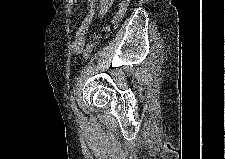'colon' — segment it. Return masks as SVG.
I'll return each instance as SVG.
<instances>
[{"instance_id":"5ec220e1","label":"colon","mask_w":225,"mask_h":159,"mask_svg":"<svg viewBox=\"0 0 225 159\" xmlns=\"http://www.w3.org/2000/svg\"><path fill=\"white\" fill-rule=\"evenodd\" d=\"M129 2H130V0H122L121 1L114 18L103 29L102 35H106L107 33H109L122 20V18L124 17V15L128 9ZM99 38L100 37H96L86 46V48L84 50V58L85 59H88L91 56V54L94 50V47Z\"/></svg>"}]
</instances>
